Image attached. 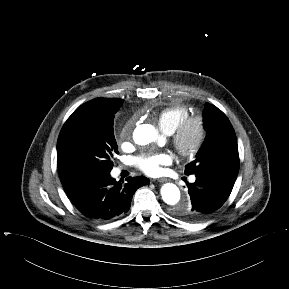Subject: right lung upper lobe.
<instances>
[{
	"mask_svg": "<svg viewBox=\"0 0 289 289\" xmlns=\"http://www.w3.org/2000/svg\"><path fill=\"white\" fill-rule=\"evenodd\" d=\"M61 182L65 190L70 189L74 184H76V182H70V181H61Z\"/></svg>",
	"mask_w": 289,
	"mask_h": 289,
	"instance_id": "cb5924a9",
	"label": "right lung upper lobe"
}]
</instances>
